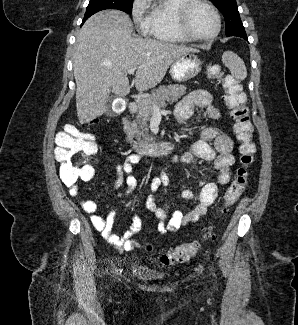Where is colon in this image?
<instances>
[{"instance_id":"5ec220e1","label":"colon","mask_w":298,"mask_h":325,"mask_svg":"<svg viewBox=\"0 0 298 325\" xmlns=\"http://www.w3.org/2000/svg\"><path fill=\"white\" fill-rule=\"evenodd\" d=\"M208 75L223 82L225 102L230 108L234 133L239 142L240 165L224 195V210H227L238 201L246 188L256 146L253 141L248 99L239 83L232 76H225L221 67L216 64L208 66ZM97 150L92 135L81 132L72 125L66 126L57 135L55 157L60 162L59 174L65 185L74 186L79 181H88L93 177L94 169L91 163L97 155ZM213 236L212 229L205 233L208 239ZM146 249L150 251L152 246L148 244ZM198 250L199 245L195 242L181 244L163 253L160 263L164 266L184 263L195 256Z\"/></svg>"}]
</instances>
